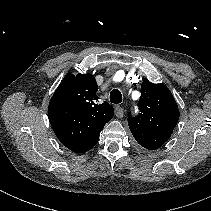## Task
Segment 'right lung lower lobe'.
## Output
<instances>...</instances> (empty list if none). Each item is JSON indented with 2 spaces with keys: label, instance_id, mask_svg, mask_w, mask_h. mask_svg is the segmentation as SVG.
<instances>
[{
  "label": "right lung lower lobe",
  "instance_id": "98d812e1",
  "mask_svg": "<svg viewBox=\"0 0 211 211\" xmlns=\"http://www.w3.org/2000/svg\"><path fill=\"white\" fill-rule=\"evenodd\" d=\"M73 103L69 100L52 97L49 104V118L53 130L58 129H68L73 125L74 117L73 113ZM100 134V133H99ZM99 134L90 138L77 153H83L90 150L96 145L99 140Z\"/></svg>",
  "mask_w": 211,
  "mask_h": 211
}]
</instances>
